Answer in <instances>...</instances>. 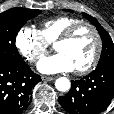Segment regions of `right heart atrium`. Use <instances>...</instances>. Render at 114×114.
Segmentation results:
<instances>
[{"label":"right heart atrium","instance_id":"obj_1","mask_svg":"<svg viewBox=\"0 0 114 114\" xmlns=\"http://www.w3.org/2000/svg\"><path fill=\"white\" fill-rule=\"evenodd\" d=\"M15 46L20 55L31 64L37 63L49 49V44L39 30L30 26H23L18 30Z\"/></svg>","mask_w":114,"mask_h":114}]
</instances>
